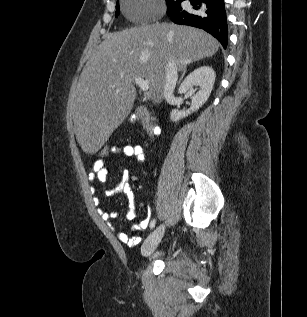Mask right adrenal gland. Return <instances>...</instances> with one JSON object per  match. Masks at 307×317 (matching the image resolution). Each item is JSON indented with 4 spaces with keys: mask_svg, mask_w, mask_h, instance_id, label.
Instances as JSON below:
<instances>
[{
    "mask_svg": "<svg viewBox=\"0 0 307 317\" xmlns=\"http://www.w3.org/2000/svg\"><path fill=\"white\" fill-rule=\"evenodd\" d=\"M186 70H187V68L185 67V68L183 69V74H182V76H181V78H180V81L183 79V77H184V75H185Z\"/></svg>",
    "mask_w": 307,
    "mask_h": 317,
    "instance_id": "2a0ac1e0",
    "label": "right adrenal gland"
}]
</instances>
